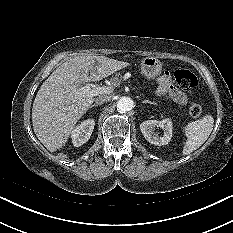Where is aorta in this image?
Here are the masks:
<instances>
[{
	"label": "aorta",
	"mask_w": 233,
	"mask_h": 233,
	"mask_svg": "<svg viewBox=\"0 0 233 233\" xmlns=\"http://www.w3.org/2000/svg\"><path fill=\"white\" fill-rule=\"evenodd\" d=\"M133 108V100L130 97H121L117 102V111L125 113Z\"/></svg>",
	"instance_id": "aorta-1"
}]
</instances>
